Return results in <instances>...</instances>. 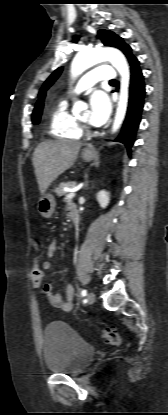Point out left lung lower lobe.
Here are the masks:
<instances>
[{
    "instance_id": "0a47b994",
    "label": "left lung lower lobe",
    "mask_w": 168,
    "mask_h": 415,
    "mask_svg": "<svg viewBox=\"0 0 168 415\" xmlns=\"http://www.w3.org/2000/svg\"><path fill=\"white\" fill-rule=\"evenodd\" d=\"M129 65L131 80L127 116L121 134L115 141L125 144L128 153L131 154V147L141 120V113L144 105L145 84L138 59L133 56L129 60Z\"/></svg>"
}]
</instances>
